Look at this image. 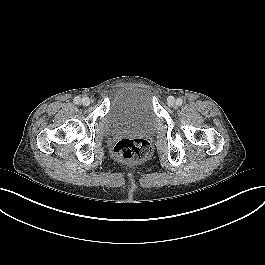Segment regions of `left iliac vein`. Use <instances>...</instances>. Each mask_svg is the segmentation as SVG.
Instances as JSON below:
<instances>
[{
    "label": "left iliac vein",
    "mask_w": 265,
    "mask_h": 265,
    "mask_svg": "<svg viewBox=\"0 0 265 265\" xmlns=\"http://www.w3.org/2000/svg\"><path fill=\"white\" fill-rule=\"evenodd\" d=\"M167 104L169 105V106H174L175 104H176V101H175V98L174 97H172V96H169L168 98H167Z\"/></svg>",
    "instance_id": "obj_1"
}]
</instances>
